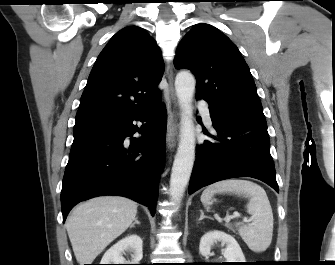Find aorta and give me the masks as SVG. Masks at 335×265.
Masks as SVG:
<instances>
[{
  "label": "aorta",
  "mask_w": 335,
  "mask_h": 265,
  "mask_svg": "<svg viewBox=\"0 0 335 265\" xmlns=\"http://www.w3.org/2000/svg\"><path fill=\"white\" fill-rule=\"evenodd\" d=\"M195 78L181 71L175 79V89L181 110L180 140L172 166L169 194L175 206L179 205L189 182L195 159V132L192 99Z\"/></svg>",
  "instance_id": "obj_1"
}]
</instances>
